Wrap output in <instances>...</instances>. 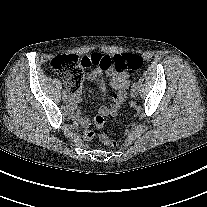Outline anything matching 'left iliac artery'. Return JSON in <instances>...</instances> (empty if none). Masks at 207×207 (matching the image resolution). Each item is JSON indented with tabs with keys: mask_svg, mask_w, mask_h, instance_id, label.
Masks as SVG:
<instances>
[{
	"mask_svg": "<svg viewBox=\"0 0 207 207\" xmlns=\"http://www.w3.org/2000/svg\"><path fill=\"white\" fill-rule=\"evenodd\" d=\"M133 87L137 88V83H133L132 88Z\"/></svg>",
	"mask_w": 207,
	"mask_h": 207,
	"instance_id": "1",
	"label": "left iliac artery"
}]
</instances>
